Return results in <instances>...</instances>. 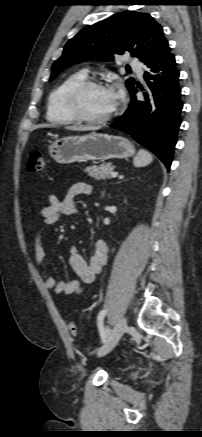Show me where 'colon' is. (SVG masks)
<instances>
[{"label": "colon", "instance_id": "colon-1", "mask_svg": "<svg viewBox=\"0 0 202 437\" xmlns=\"http://www.w3.org/2000/svg\"><path fill=\"white\" fill-rule=\"evenodd\" d=\"M28 170L29 172L39 173L44 170L45 162L44 157L41 151L33 150L29 156L28 160ZM69 333L72 336H76L78 333L77 326L74 322H70L68 324Z\"/></svg>", "mask_w": 202, "mask_h": 437}]
</instances>
